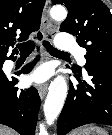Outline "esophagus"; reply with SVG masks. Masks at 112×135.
<instances>
[{
	"label": "esophagus",
	"instance_id": "esophagus-1",
	"mask_svg": "<svg viewBox=\"0 0 112 135\" xmlns=\"http://www.w3.org/2000/svg\"><path fill=\"white\" fill-rule=\"evenodd\" d=\"M50 6L51 1H46V6L43 10L42 19H41V30L44 33V36L47 39H51L53 33L57 30L58 25L50 18ZM48 84L45 83L43 85L38 86V93L41 99H43L47 93Z\"/></svg>",
	"mask_w": 112,
	"mask_h": 135
}]
</instances>
